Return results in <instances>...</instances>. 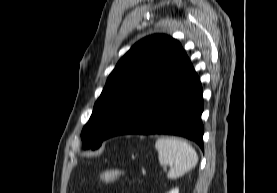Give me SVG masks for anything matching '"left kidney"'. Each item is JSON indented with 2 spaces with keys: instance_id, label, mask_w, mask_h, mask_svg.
I'll return each instance as SVG.
<instances>
[{
  "instance_id": "left-kidney-1",
  "label": "left kidney",
  "mask_w": 277,
  "mask_h": 193,
  "mask_svg": "<svg viewBox=\"0 0 277 193\" xmlns=\"http://www.w3.org/2000/svg\"><path fill=\"white\" fill-rule=\"evenodd\" d=\"M168 193H179V189H178V188H175V189L171 190V191L168 192Z\"/></svg>"
}]
</instances>
